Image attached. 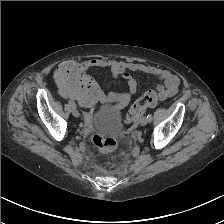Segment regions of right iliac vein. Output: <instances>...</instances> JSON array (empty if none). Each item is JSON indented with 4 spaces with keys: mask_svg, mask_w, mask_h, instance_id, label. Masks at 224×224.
Returning a JSON list of instances; mask_svg holds the SVG:
<instances>
[{
    "mask_svg": "<svg viewBox=\"0 0 224 224\" xmlns=\"http://www.w3.org/2000/svg\"><path fill=\"white\" fill-rule=\"evenodd\" d=\"M72 114L75 117H79L80 116V113H79V111L76 108H72Z\"/></svg>",
    "mask_w": 224,
    "mask_h": 224,
    "instance_id": "63e3f726",
    "label": "right iliac vein"
}]
</instances>
